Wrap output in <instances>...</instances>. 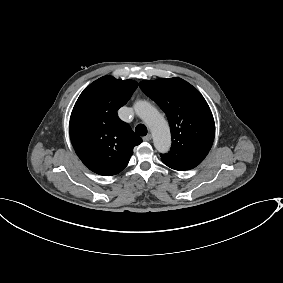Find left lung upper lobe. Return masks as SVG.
I'll return each instance as SVG.
<instances>
[{
    "label": "left lung upper lobe",
    "mask_w": 283,
    "mask_h": 283,
    "mask_svg": "<svg viewBox=\"0 0 283 283\" xmlns=\"http://www.w3.org/2000/svg\"><path fill=\"white\" fill-rule=\"evenodd\" d=\"M140 88L169 120L172 147L160 155L161 160L186 170L198 166L210 151L215 135L214 119L203 96L180 78L144 80Z\"/></svg>",
    "instance_id": "1"
}]
</instances>
